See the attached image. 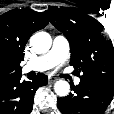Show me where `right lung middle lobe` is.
<instances>
[{"label": "right lung middle lobe", "mask_w": 114, "mask_h": 114, "mask_svg": "<svg viewBox=\"0 0 114 114\" xmlns=\"http://www.w3.org/2000/svg\"><path fill=\"white\" fill-rule=\"evenodd\" d=\"M11 75L5 72H0V82H2L3 80H6L7 78H9Z\"/></svg>", "instance_id": "1"}]
</instances>
